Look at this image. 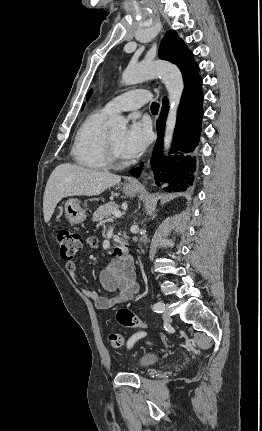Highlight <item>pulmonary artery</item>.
<instances>
[{"label":"pulmonary artery","mask_w":262,"mask_h":431,"mask_svg":"<svg viewBox=\"0 0 262 431\" xmlns=\"http://www.w3.org/2000/svg\"><path fill=\"white\" fill-rule=\"evenodd\" d=\"M151 99V94L145 89H135L120 94L111 99L104 108L111 114L122 111L137 110Z\"/></svg>","instance_id":"obj_1"}]
</instances>
